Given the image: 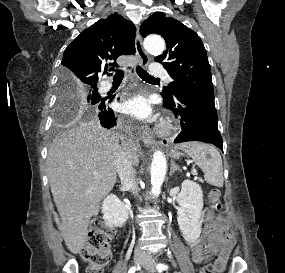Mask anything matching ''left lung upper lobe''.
Wrapping results in <instances>:
<instances>
[{"mask_svg": "<svg viewBox=\"0 0 285 273\" xmlns=\"http://www.w3.org/2000/svg\"><path fill=\"white\" fill-rule=\"evenodd\" d=\"M143 37L162 35L167 49L155 60L162 62L173 82L162 95L173 98L177 94H214L211 68L200 37L181 22L156 12L141 25Z\"/></svg>", "mask_w": 285, "mask_h": 273, "instance_id": "obj_1", "label": "left lung upper lobe"}]
</instances>
